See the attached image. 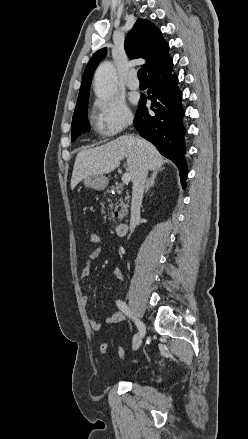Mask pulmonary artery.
Returning a JSON list of instances; mask_svg holds the SVG:
<instances>
[{
	"instance_id": "e3ab8cb5",
	"label": "pulmonary artery",
	"mask_w": 248,
	"mask_h": 439,
	"mask_svg": "<svg viewBox=\"0 0 248 439\" xmlns=\"http://www.w3.org/2000/svg\"><path fill=\"white\" fill-rule=\"evenodd\" d=\"M126 86L131 89V90H136L139 88L140 83L139 80L136 77V72L135 71H131L128 73L127 75V79H126Z\"/></svg>"
}]
</instances>
